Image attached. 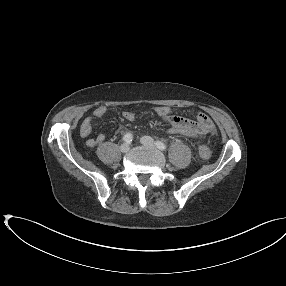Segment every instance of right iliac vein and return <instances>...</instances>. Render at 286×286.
Masks as SVG:
<instances>
[{
  "instance_id": "63e3f726",
  "label": "right iliac vein",
  "mask_w": 286,
  "mask_h": 286,
  "mask_svg": "<svg viewBox=\"0 0 286 286\" xmlns=\"http://www.w3.org/2000/svg\"><path fill=\"white\" fill-rule=\"evenodd\" d=\"M130 149V145L128 143H123L121 146H120V151L123 152V153H126L128 152Z\"/></svg>"
}]
</instances>
